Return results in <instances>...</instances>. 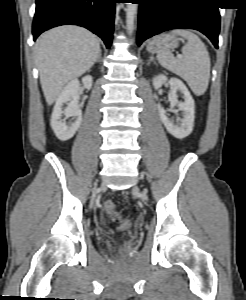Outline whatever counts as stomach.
Wrapping results in <instances>:
<instances>
[{
	"label": "stomach",
	"instance_id": "0dacf381",
	"mask_svg": "<svg viewBox=\"0 0 246 300\" xmlns=\"http://www.w3.org/2000/svg\"><path fill=\"white\" fill-rule=\"evenodd\" d=\"M179 38L175 34H161L154 37L147 45V51L156 53L163 50L174 49L179 45Z\"/></svg>",
	"mask_w": 246,
	"mask_h": 300
}]
</instances>
